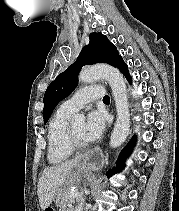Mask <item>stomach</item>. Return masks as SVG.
<instances>
[{
    "mask_svg": "<svg viewBox=\"0 0 179 211\" xmlns=\"http://www.w3.org/2000/svg\"><path fill=\"white\" fill-rule=\"evenodd\" d=\"M87 166V161L82 162L81 166L75 170L70 178L66 182V187L68 185L79 184L81 177L85 174V168Z\"/></svg>",
    "mask_w": 179,
    "mask_h": 211,
    "instance_id": "0dacf381",
    "label": "stomach"
}]
</instances>
